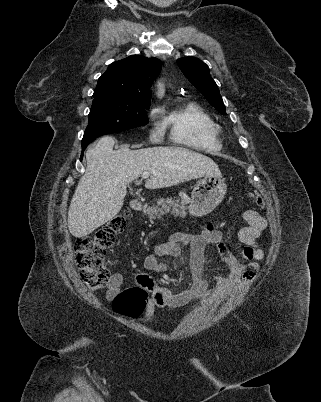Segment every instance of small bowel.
Listing matches in <instances>:
<instances>
[{
	"label": "small bowel",
	"mask_w": 321,
	"mask_h": 402,
	"mask_svg": "<svg viewBox=\"0 0 321 402\" xmlns=\"http://www.w3.org/2000/svg\"><path fill=\"white\" fill-rule=\"evenodd\" d=\"M245 225L238 232V238L244 245L241 257L247 262L243 263L238 256L233 254L224 241L222 233L213 225H208L199 233L176 232L170 235L166 241L154 245L153 252L144 258V267L149 271L163 272L168 269V264L159 260L162 256L179 257L177 265L183 262L182 246L188 245V267L192 274L191 287L173 292L166 286L155 283L145 273L137 275L138 283L151 294L145 309V319L151 320L157 308L177 309L192 302L203 301L209 291V282L203 276V267L209 262L207 247L213 246L221 260L225 263L227 273L214 278L215 292L220 299H225L237 293L244 285L256 278L259 272V262L264 254L261 250L258 238L267 227L265 217L256 211L249 210L243 215ZM123 283L120 273H113L108 282L107 298L113 299L118 295Z\"/></svg>",
	"instance_id": "1"
}]
</instances>
